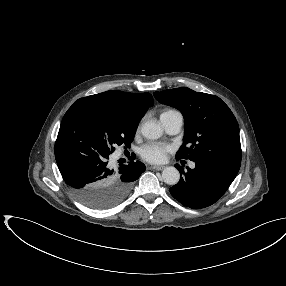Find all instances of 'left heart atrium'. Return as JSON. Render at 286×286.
Returning a JSON list of instances; mask_svg holds the SVG:
<instances>
[{
  "label": "left heart atrium",
  "mask_w": 286,
  "mask_h": 286,
  "mask_svg": "<svg viewBox=\"0 0 286 286\" xmlns=\"http://www.w3.org/2000/svg\"><path fill=\"white\" fill-rule=\"evenodd\" d=\"M172 148L161 143H150L142 149V157L150 163H162L166 160Z\"/></svg>",
  "instance_id": "obj_1"
}]
</instances>
